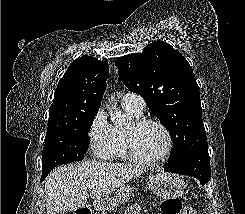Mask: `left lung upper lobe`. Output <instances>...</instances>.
Listing matches in <instances>:
<instances>
[{
    "label": "left lung upper lobe",
    "instance_id": "left-lung-upper-lobe-1",
    "mask_svg": "<svg viewBox=\"0 0 245 214\" xmlns=\"http://www.w3.org/2000/svg\"><path fill=\"white\" fill-rule=\"evenodd\" d=\"M116 66L124 85L145 99L169 131L174 147L169 163L208 148L199 87L181 53L157 40L142 53L119 58Z\"/></svg>",
    "mask_w": 245,
    "mask_h": 214
}]
</instances>
